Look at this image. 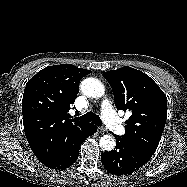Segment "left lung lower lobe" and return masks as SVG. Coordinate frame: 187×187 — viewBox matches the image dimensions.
I'll use <instances>...</instances> for the list:
<instances>
[{"mask_svg": "<svg viewBox=\"0 0 187 187\" xmlns=\"http://www.w3.org/2000/svg\"><path fill=\"white\" fill-rule=\"evenodd\" d=\"M116 147L101 154L102 164L108 172L115 175H126L138 170L147 163L153 154L126 146L122 139L115 135Z\"/></svg>", "mask_w": 187, "mask_h": 187, "instance_id": "1", "label": "left lung lower lobe"}]
</instances>
